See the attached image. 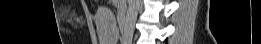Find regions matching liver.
<instances>
[{"label": "liver", "instance_id": "6515ba94", "mask_svg": "<svg viewBox=\"0 0 261 44\" xmlns=\"http://www.w3.org/2000/svg\"><path fill=\"white\" fill-rule=\"evenodd\" d=\"M114 19H110V14H101V17H96L95 30H98V36L102 42L106 44H111L114 40L110 35H114L117 30V25H100L101 24H114Z\"/></svg>", "mask_w": 261, "mask_h": 44}]
</instances>
